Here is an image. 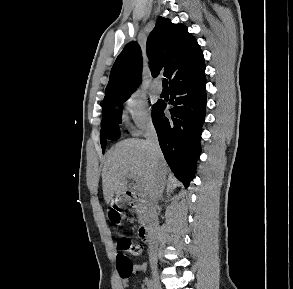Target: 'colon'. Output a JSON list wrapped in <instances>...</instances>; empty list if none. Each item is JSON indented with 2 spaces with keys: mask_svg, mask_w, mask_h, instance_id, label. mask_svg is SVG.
I'll list each match as a JSON object with an SVG mask.
<instances>
[{
  "mask_svg": "<svg viewBox=\"0 0 293 289\" xmlns=\"http://www.w3.org/2000/svg\"><path fill=\"white\" fill-rule=\"evenodd\" d=\"M117 243L123 252L117 258L118 270L122 278H127L133 271L129 256H139L142 253V246L132 238L124 235L119 236Z\"/></svg>",
  "mask_w": 293,
  "mask_h": 289,
  "instance_id": "obj_1",
  "label": "colon"
}]
</instances>
